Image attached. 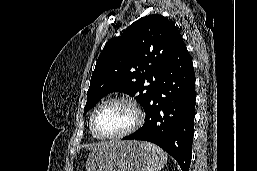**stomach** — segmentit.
Wrapping results in <instances>:
<instances>
[{"label":"stomach","instance_id":"0dacf381","mask_svg":"<svg viewBox=\"0 0 257 171\" xmlns=\"http://www.w3.org/2000/svg\"><path fill=\"white\" fill-rule=\"evenodd\" d=\"M147 151L137 141H118L93 151L86 171H146Z\"/></svg>","mask_w":257,"mask_h":171}]
</instances>
